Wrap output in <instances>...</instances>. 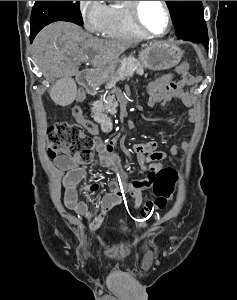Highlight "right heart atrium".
<instances>
[{"mask_svg":"<svg viewBox=\"0 0 237 300\" xmlns=\"http://www.w3.org/2000/svg\"><path fill=\"white\" fill-rule=\"evenodd\" d=\"M79 12L85 28L92 33H104L108 24V6L103 1H79Z\"/></svg>","mask_w":237,"mask_h":300,"instance_id":"1","label":"right heart atrium"}]
</instances>
